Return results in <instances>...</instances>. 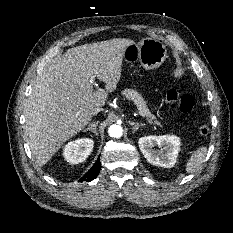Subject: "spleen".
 Wrapping results in <instances>:
<instances>
[{
    "label": "spleen",
    "mask_w": 233,
    "mask_h": 233,
    "mask_svg": "<svg viewBox=\"0 0 233 233\" xmlns=\"http://www.w3.org/2000/svg\"><path fill=\"white\" fill-rule=\"evenodd\" d=\"M207 147L201 146L194 151L186 164V172L193 173L202 165L207 155Z\"/></svg>",
    "instance_id": "3e777b00"
}]
</instances>
